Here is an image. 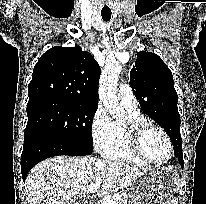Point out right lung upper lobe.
Instances as JSON below:
<instances>
[{
  "label": "right lung upper lobe",
  "instance_id": "cb5924a9",
  "mask_svg": "<svg viewBox=\"0 0 206 204\" xmlns=\"http://www.w3.org/2000/svg\"><path fill=\"white\" fill-rule=\"evenodd\" d=\"M100 67L81 47H53L34 67L29 101L60 99L98 105Z\"/></svg>",
  "mask_w": 206,
  "mask_h": 204
}]
</instances>
